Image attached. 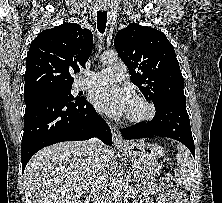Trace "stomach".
Here are the masks:
<instances>
[{
  "label": "stomach",
  "mask_w": 222,
  "mask_h": 203,
  "mask_svg": "<svg viewBox=\"0 0 222 203\" xmlns=\"http://www.w3.org/2000/svg\"><path fill=\"white\" fill-rule=\"evenodd\" d=\"M122 150L125 155L140 161H153L165 154L162 146L145 142L132 143Z\"/></svg>",
  "instance_id": "0dacf381"
}]
</instances>
